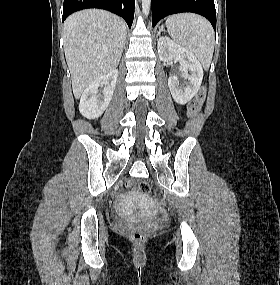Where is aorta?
<instances>
[{
	"instance_id": "1",
	"label": "aorta",
	"mask_w": 280,
	"mask_h": 285,
	"mask_svg": "<svg viewBox=\"0 0 280 285\" xmlns=\"http://www.w3.org/2000/svg\"><path fill=\"white\" fill-rule=\"evenodd\" d=\"M151 0H142V12L145 16H148L150 11Z\"/></svg>"
}]
</instances>
